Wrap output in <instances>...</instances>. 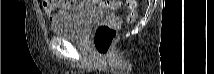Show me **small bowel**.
<instances>
[{"label":"small bowel","mask_w":214,"mask_h":74,"mask_svg":"<svg viewBox=\"0 0 214 74\" xmlns=\"http://www.w3.org/2000/svg\"><path fill=\"white\" fill-rule=\"evenodd\" d=\"M41 4L44 9L45 16L51 22H53L55 19V14H54L55 10L58 9L63 11L71 6V3L61 1V0H55V1L44 0V1H41Z\"/></svg>","instance_id":"small-bowel-1"}]
</instances>
